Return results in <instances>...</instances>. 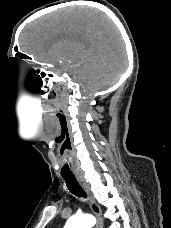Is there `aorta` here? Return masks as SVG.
I'll return each mask as SVG.
<instances>
[{
    "mask_svg": "<svg viewBox=\"0 0 171 228\" xmlns=\"http://www.w3.org/2000/svg\"><path fill=\"white\" fill-rule=\"evenodd\" d=\"M95 224V218L88 214L75 215L70 217L64 228H92Z\"/></svg>",
    "mask_w": 171,
    "mask_h": 228,
    "instance_id": "762f6f07",
    "label": "aorta"
}]
</instances>
